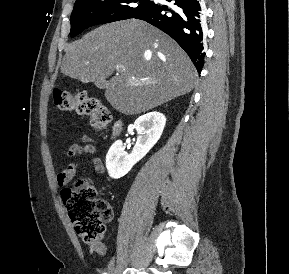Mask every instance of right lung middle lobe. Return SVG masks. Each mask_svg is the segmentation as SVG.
<instances>
[{
	"label": "right lung middle lobe",
	"mask_w": 289,
	"mask_h": 274,
	"mask_svg": "<svg viewBox=\"0 0 289 274\" xmlns=\"http://www.w3.org/2000/svg\"><path fill=\"white\" fill-rule=\"evenodd\" d=\"M153 3L150 0H76L70 36L75 37L93 25L134 18Z\"/></svg>",
	"instance_id": "obj_1"
}]
</instances>
